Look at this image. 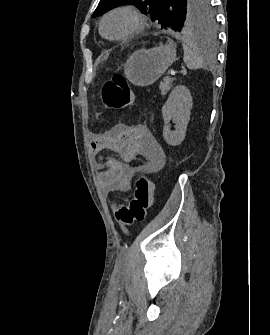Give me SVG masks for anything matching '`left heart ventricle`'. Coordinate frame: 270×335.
Instances as JSON below:
<instances>
[{"label":"left heart ventricle","instance_id":"b2bd125f","mask_svg":"<svg viewBox=\"0 0 270 335\" xmlns=\"http://www.w3.org/2000/svg\"><path fill=\"white\" fill-rule=\"evenodd\" d=\"M135 25L136 22L130 15L118 13L106 21L104 31L109 37L115 38L131 31Z\"/></svg>","mask_w":270,"mask_h":335}]
</instances>
